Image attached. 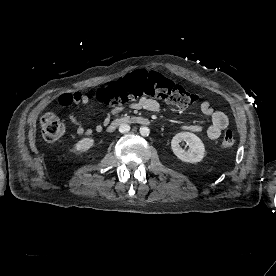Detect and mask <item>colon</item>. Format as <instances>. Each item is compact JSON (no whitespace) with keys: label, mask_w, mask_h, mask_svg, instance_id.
Returning a JSON list of instances; mask_svg holds the SVG:
<instances>
[{"label":"colon","mask_w":276,"mask_h":276,"mask_svg":"<svg viewBox=\"0 0 276 276\" xmlns=\"http://www.w3.org/2000/svg\"><path fill=\"white\" fill-rule=\"evenodd\" d=\"M143 97L163 99L182 108L192 106L201 100L198 94L187 91L159 73L146 70H137L126 79L96 92V98L108 105H119ZM41 130L46 141L54 142L63 136L65 126L56 115L48 113L41 119ZM234 144L233 133L226 131L220 140V148L229 151Z\"/></svg>","instance_id":"colon-1"}]
</instances>
